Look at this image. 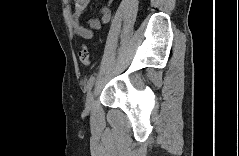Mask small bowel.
<instances>
[{
  "label": "small bowel",
  "mask_w": 239,
  "mask_h": 156,
  "mask_svg": "<svg viewBox=\"0 0 239 156\" xmlns=\"http://www.w3.org/2000/svg\"><path fill=\"white\" fill-rule=\"evenodd\" d=\"M89 0H76L73 11V28L77 36L84 39H91L93 37V30H100L102 25L109 22L111 17V5L103 6L99 10V19H88L89 27L82 24Z\"/></svg>",
  "instance_id": "obj_1"
}]
</instances>
